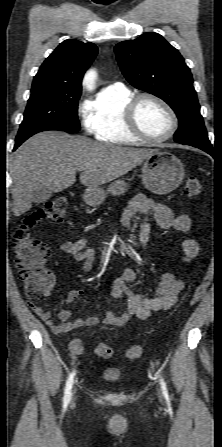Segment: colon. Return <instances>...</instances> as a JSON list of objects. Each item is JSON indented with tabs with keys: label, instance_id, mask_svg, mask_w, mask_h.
Wrapping results in <instances>:
<instances>
[{
	"label": "colon",
	"instance_id": "5ec220e1",
	"mask_svg": "<svg viewBox=\"0 0 222 447\" xmlns=\"http://www.w3.org/2000/svg\"><path fill=\"white\" fill-rule=\"evenodd\" d=\"M202 192V186L195 177H189L185 184V193L195 197ZM68 201L65 197H58L47 201L43 208L27 216L14 231L11 245L14 250V263L19 278L24 283L25 294L30 302H36L43 288L52 278L46 263L50 258L51 249L48 244L31 236L30 230L40 222H61L66 215ZM215 275V264L210 261L205 268L200 282L195 287L189 299L190 305L197 304L206 294ZM95 353L105 359L114 355L113 349L105 343H97ZM142 350L138 345L130 346L126 357L130 360L138 359Z\"/></svg>",
	"mask_w": 222,
	"mask_h": 447
}]
</instances>
